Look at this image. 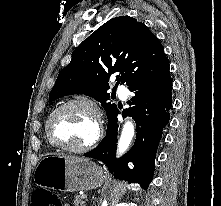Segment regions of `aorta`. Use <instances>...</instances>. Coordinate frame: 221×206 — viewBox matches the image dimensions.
Wrapping results in <instances>:
<instances>
[{
	"label": "aorta",
	"mask_w": 221,
	"mask_h": 206,
	"mask_svg": "<svg viewBox=\"0 0 221 206\" xmlns=\"http://www.w3.org/2000/svg\"><path fill=\"white\" fill-rule=\"evenodd\" d=\"M135 134V128L132 121H127L122 128V132L120 135L119 143H118V156L122 155L129 147L133 137ZM102 206H107V202L104 201Z\"/></svg>",
	"instance_id": "762f6f07"
}]
</instances>
